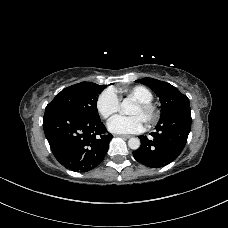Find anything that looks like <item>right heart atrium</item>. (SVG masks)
Here are the masks:
<instances>
[{"label":"right heart atrium","instance_id":"right-heart-atrium-1","mask_svg":"<svg viewBox=\"0 0 228 228\" xmlns=\"http://www.w3.org/2000/svg\"><path fill=\"white\" fill-rule=\"evenodd\" d=\"M119 107L120 99L114 89L107 88L97 97L96 109L104 119L114 115L119 110Z\"/></svg>","mask_w":228,"mask_h":228}]
</instances>
